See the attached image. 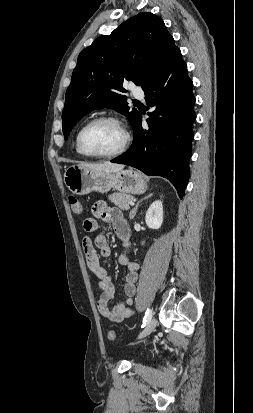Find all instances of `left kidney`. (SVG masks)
I'll list each match as a JSON object with an SVG mask.
<instances>
[{"label":"left kidney","mask_w":253,"mask_h":413,"mask_svg":"<svg viewBox=\"0 0 253 413\" xmlns=\"http://www.w3.org/2000/svg\"><path fill=\"white\" fill-rule=\"evenodd\" d=\"M145 222L151 229H159L163 223V205L160 200L154 201L148 208Z\"/></svg>","instance_id":"5707ae66"}]
</instances>
